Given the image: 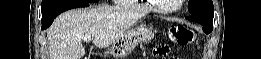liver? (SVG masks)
I'll use <instances>...</instances> for the list:
<instances>
[{
  "label": "liver",
  "instance_id": "obj_1",
  "mask_svg": "<svg viewBox=\"0 0 261 59\" xmlns=\"http://www.w3.org/2000/svg\"><path fill=\"white\" fill-rule=\"evenodd\" d=\"M142 16L108 6L65 12L47 30L50 59H81L85 55V36H91L99 48L109 47Z\"/></svg>",
  "mask_w": 261,
  "mask_h": 59
}]
</instances>
